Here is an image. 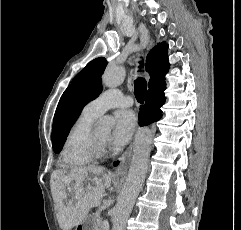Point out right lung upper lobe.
Returning <instances> with one entry per match:
<instances>
[{"mask_svg": "<svg viewBox=\"0 0 241 230\" xmlns=\"http://www.w3.org/2000/svg\"><path fill=\"white\" fill-rule=\"evenodd\" d=\"M168 45L163 42L155 46L147 55L146 71L150 74L148 86L162 80L169 70Z\"/></svg>", "mask_w": 241, "mask_h": 230, "instance_id": "1", "label": "right lung upper lobe"}]
</instances>
